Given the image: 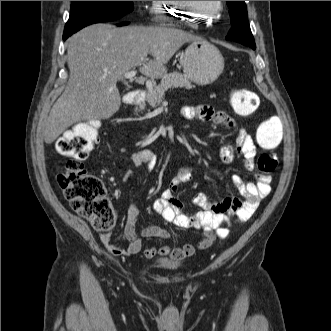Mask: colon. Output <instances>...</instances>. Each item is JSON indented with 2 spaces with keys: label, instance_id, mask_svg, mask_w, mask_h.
I'll list each match as a JSON object with an SVG mask.
<instances>
[{
  "label": "colon",
  "instance_id": "5ec220e1",
  "mask_svg": "<svg viewBox=\"0 0 331 331\" xmlns=\"http://www.w3.org/2000/svg\"><path fill=\"white\" fill-rule=\"evenodd\" d=\"M230 103L236 113L247 116L258 108L259 98L249 90L236 88L230 93ZM98 128L96 122L79 123L58 140L57 152L68 160L58 172L57 182L77 214L86 218L94 229L109 231L115 224V211L101 179L89 173L83 164L97 142ZM282 134V119L272 116L260 124L256 138L262 148L273 149L281 143ZM277 165V157L270 152L262 153L257 159V168L264 174L273 173ZM211 243L203 240L199 247L206 248Z\"/></svg>",
  "mask_w": 331,
  "mask_h": 331
}]
</instances>
